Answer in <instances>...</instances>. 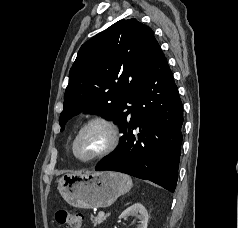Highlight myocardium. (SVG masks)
<instances>
[{"label": "myocardium", "instance_id": "1", "mask_svg": "<svg viewBox=\"0 0 238 228\" xmlns=\"http://www.w3.org/2000/svg\"><path fill=\"white\" fill-rule=\"evenodd\" d=\"M93 126H101L102 128H104L107 132L108 135V140L106 145L104 146V148L99 151L98 153H96L95 155L89 157V158H81L77 155L76 153V145L78 140L80 139V137L82 136V134L87 131L88 129H90ZM119 131L118 128L116 126V124L103 116H94L89 118L88 120H86L77 130L73 141H72V153L73 156L81 162H93L99 159H102L104 157H106L107 155H109L111 152H113L115 150V148L118 146L119 144Z\"/></svg>", "mask_w": 238, "mask_h": 228}]
</instances>
